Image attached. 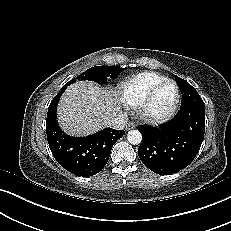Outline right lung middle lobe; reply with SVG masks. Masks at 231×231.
Returning a JSON list of instances; mask_svg holds the SVG:
<instances>
[{
	"instance_id": "right-lung-middle-lobe-1",
	"label": "right lung middle lobe",
	"mask_w": 231,
	"mask_h": 231,
	"mask_svg": "<svg viewBox=\"0 0 231 231\" xmlns=\"http://www.w3.org/2000/svg\"><path fill=\"white\" fill-rule=\"evenodd\" d=\"M124 69L116 66H96L92 67L79 76L76 77L77 80H90L103 84H107V79H115L119 73ZM76 80L72 79L68 84H73Z\"/></svg>"
}]
</instances>
